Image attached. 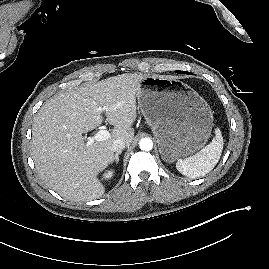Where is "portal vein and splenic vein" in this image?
I'll return each mask as SVG.
<instances>
[{"label": "portal vein and splenic vein", "instance_id": "1", "mask_svg": "<svg viewBox=\"0 0 269 269\" xmlns=\"http://www.w3.org/2000/svg\"><path fill=\"white\" fill-rule=\"evenodd\" d=\"M106 107H98V111L103 112ZM110 137V133L105 129L101 128L94 136L88 138V143H93L95 141H104Z\"/></svg>", "mask_w": 269, "mask_h": 269}]
</instances>
